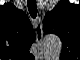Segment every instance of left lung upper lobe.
I'll list each match as a JSON object with an SVG mask.
<instances>
[{"label": "left lung upper lobe", "mask_w": 80, "mask_h": 60, "mask_svg": "<svg viewBox=\"0 0 80 60\" xmlns=\"http://www.w3.org/2000/svg\"><path fill=\"white\" fill-rule=\"evenodd\" d=\"M73 14L74 6L71 3L62 0L52 11L48 12L44 17V32L54 33L61 38L63 42V53L73 51L75 49V42L77 40L73 34Z\"/></svg>", "instance_id": "5c2ea615"}]
</instances>
